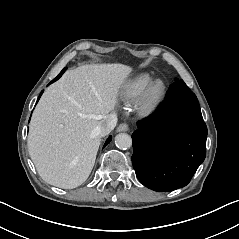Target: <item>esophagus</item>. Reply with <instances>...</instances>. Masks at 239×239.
Masks as SVG:
<instances>
[{
    "instance_id": "obj_1",
    "label": "esophagus",
    "mask_w": 239,
    "mask_h": 239,
    "mask_svg": "<svg viewBox=\"0 0 239 239\" xmlns=\"http://www.w3.org/2000/svg\"><path fill=\"white\" fill-rule=\"evenodd\" d=\"M128 129H129L128 125L123 123L118 126L116 131L117 132H126V131H128Z\"/></svg>"
}]
</instances>
